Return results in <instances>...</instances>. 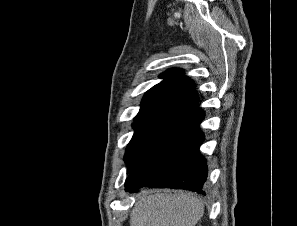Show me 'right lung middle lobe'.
<instances>
[{
  "label": "right lung middle lobe",
  "mask_w": 297,
  "mask_h": 226,
  "mask_svg": "<svg viewBox=\"0 0 297 226\" xmlns=\"http://www.w3.org/2000/svg\"><path fill=\"white\" fill-rule=\"evenodd\" d=\"M135 121L136 122L133 123L135 132L127 146L124 157L127 164V173H129L137 165L155 136L167 123V120L161 119H144Z\"/></svg>",
  "instance_id": "1"
}]
</instances>
